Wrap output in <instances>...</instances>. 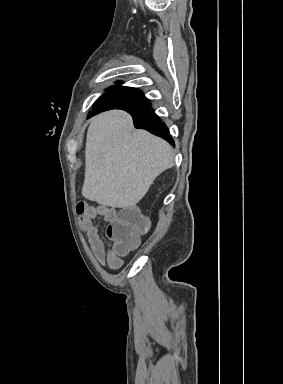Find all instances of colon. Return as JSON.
<instances>
[{
  "mask_svg": "<svg viewBox=\"0 0 283 384\" xmlns=\"http://www.w3.org/2000/svg\"><path fill=\"white\" fill-rule=\"evenodd\" d=\"M79 214L85 211L84 203L77 206ZM148 222L137 207L123 209L107 228L108 237L113 240L117 252L124 253L133 248L139 235L147 229Z\"/></svg>",
  "mask_w": 283,
  "mask_h": 384,
  "instance_id": "obj_1",
  "label": "colon"
}]
</instances>
